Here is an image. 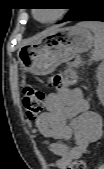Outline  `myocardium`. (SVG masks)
Wrapping results in <instances>:
<instances>
[{
    "mask_svg": "<svg viewBox=\"0 0 104 169\" xmlns=\"http://www.w3.org/2000/svg\"><path fill=\"white\" fill-rule=\"evenodd\" d=\"M33 15H34V18L36 20H38L39 22H41V23H53V22L59 20L63 16V10H57V12L55 13V15L51 19L45 20V21H41V20H39L37 18L36 11L33 12Z\"/></svg>",
    "mask_w": 104,
    "mask_h": 169,
    "instance_id": "1",
    "label": "myocardium"
}]
</instances>
